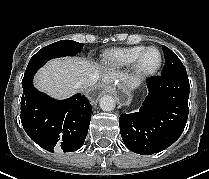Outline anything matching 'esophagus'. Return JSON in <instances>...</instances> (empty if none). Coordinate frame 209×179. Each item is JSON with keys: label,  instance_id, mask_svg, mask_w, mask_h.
<instances>
[{"label": "esophagus", "instance_id": "obj_1", "mask_svg": "<svg viewBox=\"0 0 209 179\" xmlns=\"http://www.w3.org/2000/svg\"><path fill=\"white\" fill-rule=\"evenodd\" d=\"M103 93H107L109 96H114L120 105H127L129 103V96L123 90H117L111 86L99 85L98 87L92 88L87 93V98L90 101H95Z\"/></svg>", "mask_w": 209, "mask_h": 179}]
</instances>
